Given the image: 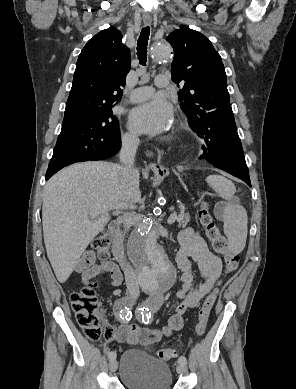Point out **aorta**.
<instances>
[{
    "instance_id": "aorta-1",
    "label": "aorta",
    "mask_w": 296,
    "mask_h": 389,
    "mask_svg": "<svg viewBox=\"0 0 296 389\" xmlns=\"http://www.w3.org/2000/svg\"><path fill=\"white\" fill-rule=\"evenodd\" d=\"M172 59L173 52L167 43H157L150 51L151 62H171ZM128 252L145 292L156 295L173 286L176 272L159 242L152 220L145 218L139 223L129 238Z\"/></svg>"
}]
</instances>
